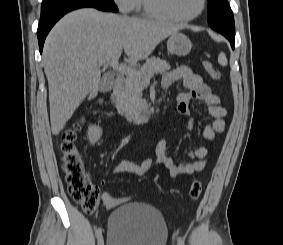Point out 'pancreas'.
Masks as SVG:
<instances>
[{
	"mask_svg": "<svg viewBox=\"0 0 283 245\" xmlns=\"http://www.w3.org/2000/svg\"><path fill=\"white\" fill-rule=\"evenodd\" d=\"M170 65L160 58L151 57L138 71L141 76H152L158 73H164L170 70ZM144 81L139 77L126 78L124 90L119 97L117 104L118 111L125 116L127 120H134L138 115L144 112L148 105L143 98Z\"/></svg>",
	"mask_w": 283,
	"mask_h": 245,
	"instance_id": "cf45deb5",
	"label": "pancreas"
}]
</instances>
